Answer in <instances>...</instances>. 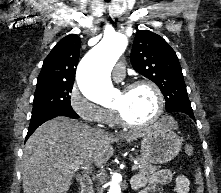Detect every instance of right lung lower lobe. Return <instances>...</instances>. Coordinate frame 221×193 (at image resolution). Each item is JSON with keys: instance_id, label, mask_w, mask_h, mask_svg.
Returning a JSON list of instances; mask_svg holds the SVG:
<instances>
[{"instance_id": "right-lung-lower-lobe-1", "label": "right lung lower lobe", "mask_w": 221, "mask_h": 193, "mask_svg": "<svg viewBox=\"0 0 221 193\" xmlns=\"http://www.w3.org/2000/svg\"><path fill=\"white\" fill-rule=\"evenodd\" d=\"M57 116H68L71 118H79V116L73 110H49L43 113L34 115L31 117L30 125L28 128V133L26 135V140L29 136L37 129V127L49 119L55 118Z\"/></svg>"}]
</instances>
